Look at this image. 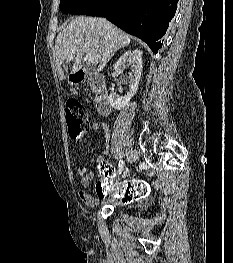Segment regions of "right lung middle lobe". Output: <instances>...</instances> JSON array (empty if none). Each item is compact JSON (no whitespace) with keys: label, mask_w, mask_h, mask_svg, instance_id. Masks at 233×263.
<instances>
[{"label":"right lung middle lobe","mask_w":233,"mask_h":263,"mask_svg":"<svg viewBox=\"0 0 233 263\" xmlns=\"http://www.w3.org/2000/svg\"><path fill=\"white\" fill-rule=\"evenodd\" d=\"M100 0H60L63 13L86 15Z\"/></svg>","instance_id":"obj_1"}]
</instances>
